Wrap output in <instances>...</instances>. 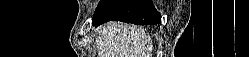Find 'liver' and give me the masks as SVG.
Masks as SVG:
<instances>
[{
  "mask_svg": "<svg viewBox=\"0 0 249 57\" xmlns=\"http://www.w3.org/2000/svg\"><path fill=\"white\" fill-rule=\"evenodd\" d=\"M151 44L139 26L108 22L98 29V57H151Z\"/></svg>",
  "mask_w": 249,
  "mask_h": 57,
  "instance_id": "liver-1",
  "label": "liver"
}]
</instances>
